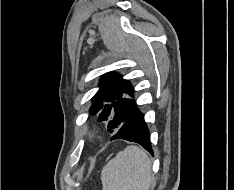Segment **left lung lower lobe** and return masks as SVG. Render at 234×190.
I'll return each mask as SVG.
<instances>
[{
    "label": "left lung lower lobe",
    "instance_id": "1",
    "mask_svg": "<svg viewBox=\"0 0 234 190\" xmlns=\"http://www.w3.org/2000/svg\"><path fill=\"white\" fill-rule=\"evenodd\" d=\"M115 139H124L127 141L139 143L153 155L149 130L144 121V115L139 111L137 106L111 137V140Z\"/></svg>",
    "mask_w": 234,
    "mask_h": 190
}]
</instances>
